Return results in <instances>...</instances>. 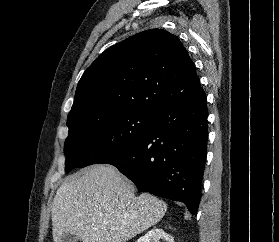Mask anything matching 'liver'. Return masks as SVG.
<instances>
[{
	"label": "liver",
	"mask_w": 279,
	"mask_h": 242,
	"mask_svg": "<svg viewBox=\"0 0 279 242\" xmlns=\"http://www.w3.org/2000/svg\"><path fill=\"white\" fill-rule=\"evenodd\" d=\"M163 200L142 193L111 165H94L69 176L57 189L52 213L54 242L66 234L83 242H125L161 220Z\"/></svg>",
	"instance_id": "obj_1"
}]
</instances>
